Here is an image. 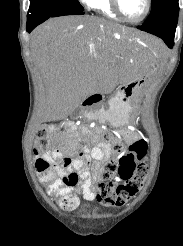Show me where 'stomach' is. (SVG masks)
Wrapping results in <instances>:
<instances>
[{
    "instance_id": "obj_1",
    "label": "stomach",
    "mask_w": 183,
    "mask_h": 246,
    "mask_svg": "<svg viewBox=\"0 0 183 246\" xmlns=\"http://www.w3.org/2000/svg\"><path fill=\"white\" fill-rule=\"evenodd\" d=\"M136 48L143 51L154 59L155 52L153 46L148 42H130ZM154 66V62L151 63ZM155 68V66L153 67ZM153 73V69L138 79L125 83L117 92L107 101L105 108L98 113L99 121L108 123L113 127H124L131 121L132 114L138 110L137 92L145 85L147 78Z\"/></svg>"
}]
</instances>
